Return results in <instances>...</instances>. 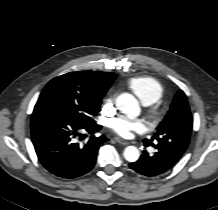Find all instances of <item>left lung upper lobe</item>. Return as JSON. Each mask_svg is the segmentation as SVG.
<instances>
[{
	"mask_svg": "<svg viewBox=\"0 0 218 210\" xmlns=\"http://www.w3.org/2000/svg\"><path fill=\"white\" fill-rule=\"evenodd\" d=\"M193 118L187 97L182 90L174 97L168 114L150 139L168 153L186 151L192 133Z\"/></svg>",
	"mask_w": 218,
	"mask_h": 210,
	"instance_id": "1",
	"label": "left lung upper lobe"
}]
</instances>
